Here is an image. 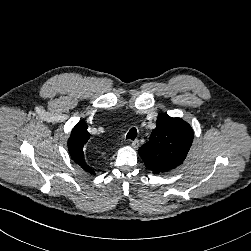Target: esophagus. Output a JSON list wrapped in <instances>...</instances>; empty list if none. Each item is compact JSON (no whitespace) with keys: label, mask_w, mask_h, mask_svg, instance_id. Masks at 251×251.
Masks as SVG:
<instances>
[{"label":"esophagus","mask_w":251,"mask_h":251,"mask_svg":"<svg viewBox=\"0 0 251 251\" xmlns=\"http://www.w3.org/2000/svg\"><path fill=\"white\" fill-rule=\"evenodd\" d=\"M139 145H140L139 140H134V141H132V143H131V146H132L133 148H135V149L138 148Z\"/></svg>","instance_id":"1"}]
</instances>
